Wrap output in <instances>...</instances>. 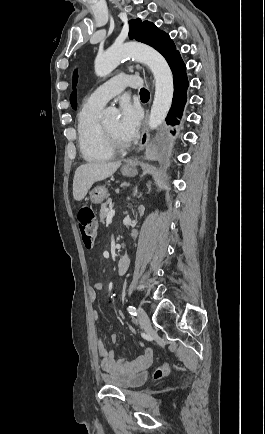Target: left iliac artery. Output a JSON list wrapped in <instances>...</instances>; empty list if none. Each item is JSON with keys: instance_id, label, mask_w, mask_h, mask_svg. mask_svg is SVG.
I'll return each mask as SVG.
<instances>
[{"instance_id": "left-iliac-artery-1", "label": "left iliac artery", "mask_w": 265, "mask_h": 434, "mask_svg": "<svg viewBox=\"0 0 265 434\" xmlns=\"http://www.w3.org/2000/svg\"><path fill=\"white\" fill-rule=\"evenodd\" d=\"M127 310L132 316L137 315V311H136V308L134 306H132V305L128 306Z\"/></svg>"}]
</instances>
